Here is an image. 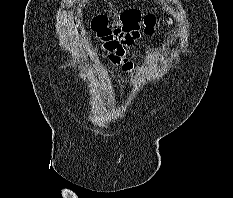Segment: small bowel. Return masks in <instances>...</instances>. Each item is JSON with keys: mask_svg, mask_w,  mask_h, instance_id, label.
Wrapping results in <instances>:
<instances>
[{"mask_svg": "<svg viewBox=\"0 0 233 198\" xmlns=\"http://www.w3.org/2000/svg\"><path fill=\"white\" fill-rule=\"evenodd\" d=\"M141 37L138 32L116 31L111 36L101 39V48L107 53L108 63L119 66L123 72L131 74L133 62L126 56L125 48L132 46Z\"/></svg>", "mask_w": 233, "mask_h": 198, "instance_id": "obj_1", "label": "small bowel"}]
</instances>
